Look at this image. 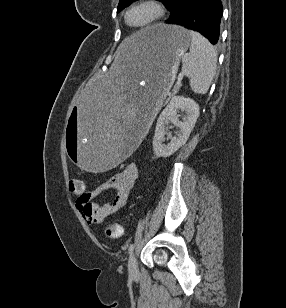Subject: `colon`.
<instances>
[{"mask_svg": "<svg viewBox=\"0 0 286 308\" xmlns=\"http://www.w3.org/2000/svg\"><path fill=\"white\" fill-rule=\"evenodd\" d=\"M84 182L81 179H72L69 183L71 192H81ZM104 234L109 238H119L122 235L123 229L119 224H107L103 228Z\"/></svg>", "mask_w": 286, "mask_h": 308, "instance_id": "5ec220e1", "label": "colon"}]
</instances>
